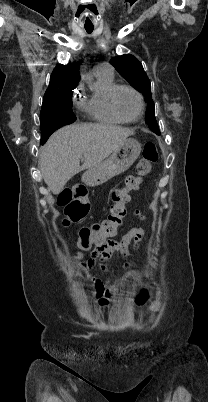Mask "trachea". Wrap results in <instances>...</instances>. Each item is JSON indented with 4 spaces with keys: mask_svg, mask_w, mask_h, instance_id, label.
Instances as JSON below:
<instances>
[{
    "mask_svg": "<svg viewBox=\"0 0 208 402\" xmlns=\"http://www.w3.org/2000/svg\"><path fill=\"white\" fill-rule=\"evenodd\" d=\"M85 30L87 33H92L94 30V27H85Z\"/></svg>",
    "mask_w": 208,
    "mask_h": 402,
    "instance_id": "trachea-1",
    "label": "trachea"
}]
</instances>
